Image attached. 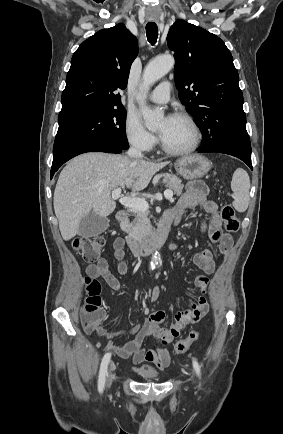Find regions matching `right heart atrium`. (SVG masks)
Wrapping results in <instances>:
<instances>
[{"label":"right heart atrium","mask_w":283,"mask_h":434,"mask_svg":"<svg viewBox=\"0 0 283 434\" xmlns=\"http://www.w3.org/2000/svg\"><path fill=\"white\" fill-rule=\"evenodd\" d=\"M124 132L128 143L141 151H150L156 144V138L148 132L138 117L127 115Z\"/></svg>","instance_id":"1"}]
</instances>
